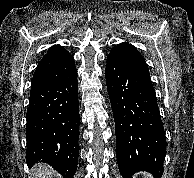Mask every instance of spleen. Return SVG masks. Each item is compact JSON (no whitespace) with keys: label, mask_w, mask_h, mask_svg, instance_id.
<instances>
[{"label":"spleen","mask_w":194,"mask_h":178,"mask_svg":"<svg viewBox=\"0 0 194 178\" xmlns=\"http://www.w3.org/2000/svg\"><path fill=\"white\" fill-rule=\"evenodd\" d=\"M144 178H153V177H149L148 175H146Z\"/></svg>","instance_id":"1"}]
</instances>
